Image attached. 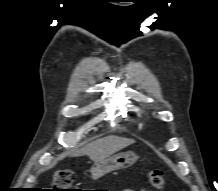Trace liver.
Segmentation results:
<instances>
[{
	"mask_svg": "<svg viewBox=\"0 0 218 191\" xmlns=\"http://www.w3.org/2000/svg\"><path fill=\"white\" fill-rule=\"evenodd\" d=\"M135 140L119 136H106L95 140L73 153V156L87 155L92 161L100 162L123 148L134 144Z\"/></svg>",
	"mask_w": 218,
	"mask_h": 191,
	"instance_id": "liver-1",
	"label": "liver"
}]
</instances>
